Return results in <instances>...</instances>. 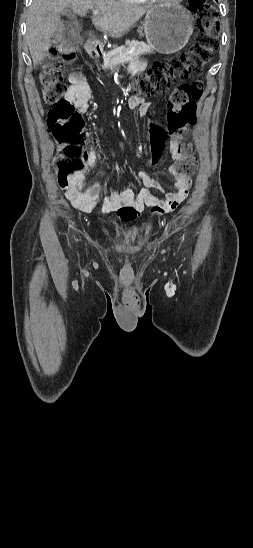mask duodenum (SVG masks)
I'll use <instances>...</instances> for the list:
<instances>
[{
	"label": "duodenum",
	"mask_w": 253,
	"mask_h": 548,
	"mask_svg": "<svg viewBox=\"0 0 253 548\" xmlns=\"http://www.w3.org/2000/svg\"><path fill=\"white\" fill-rule=\"evenodd\" d=\"M87 51L91 57H98L100 54V48L94 41L87 44Z\"/></svg>",
	"instance_id": "1"
}]
</instances>
